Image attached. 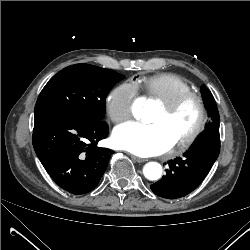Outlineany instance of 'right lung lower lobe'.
<instances>
[{"label":"right lung lower lobe","instance_id":"98d812e1","mask_svg":"<svg viewBox=\"0 0 250 250\" xmlns=\"http://www.w3.org/2000/svg\"><path fill=\"white\" fill-rule=\"evenodd\" d=\"M108 132L104 121L42 111L35 113L32 142L50 177L64 190L79 195L97 186L114 153L96 146Z\"/></svg>","mask_w":250,"mask_h":250}]
</instances>
